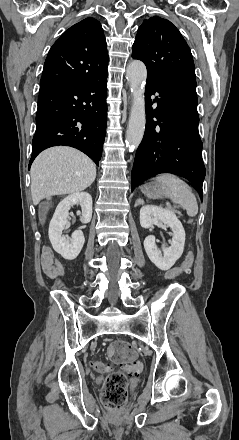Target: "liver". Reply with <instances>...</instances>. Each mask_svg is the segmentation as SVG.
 Wrapping results in <instances>:
<instances>
[{
  "mask_svg": "<svg viewBox=\"0 0 239 440\" xmlns=\"http://www.w3.org/2000/svg\"><path fill=\"white\" fill-rule=\"evenodd\" d=\"M30 176L31 196L37 206L49 196L77 194L89 188L96 178V166L79 150L55 146L37 156Z\"/></svg>",
  "mask_w": 239,
  "mask_h": 440,
  "instance_id": "obj_1",
  "label": "liver"
}]
</instances>
